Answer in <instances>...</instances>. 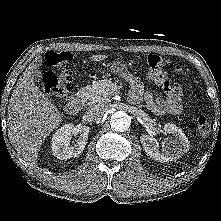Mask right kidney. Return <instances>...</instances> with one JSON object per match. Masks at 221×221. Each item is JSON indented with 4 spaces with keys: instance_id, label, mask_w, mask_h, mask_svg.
<instances>
[{
    "instance_id": "1",
    "label": "right kidney",
    "mask_w": 221,
    "mask_h": 221,
    "mask_svg": "<svg viewBox=\"0 0 221 221\" xmlns=\"http://www.w3.org/2000/svg\"><path fill=\"white\" fill-rule=\"evenodd\" d=\"M89 130L88 126L83 125L74 126L71 123L63 125L51 139L53 155L64 160L81 154L86 146ZM73 136H79V138L76 143L70 145Z\"/></svg>"
}]
</instances>
